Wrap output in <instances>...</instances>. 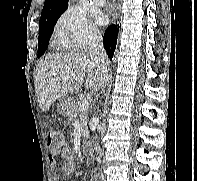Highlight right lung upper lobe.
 <instances>
[{
  "instance_id": "obj_1",
  "label": "right lung upper lobe",
  "mask_w": 197,
  "mask_h": 181,
  "mask_svg": "<svg viewBox=\"0 0 197 181\" xmlns=\"http://www.w3.org/2000/svg\"><path fill=\"white\" fill-rule=\"evenodd\" d=\"M67 7L68 0H45L41 17L50 14L63 13Z\"/></svg>"
}]
</instances>
